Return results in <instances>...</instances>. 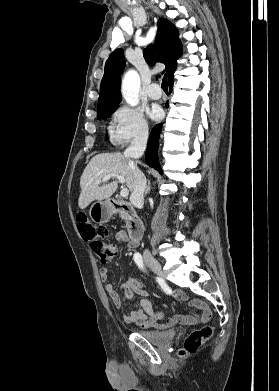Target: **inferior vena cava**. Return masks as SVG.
<instances>
[{
  "label": "inferior vena cava",
  "instance_id": "1",
  "mask_svg": "<svg viewBox=\"0 0 279 391\" xmlns=\"http://www.w3.org/2000/svg\"><path fill=\"white\" fill-rule=\"evenodd\" d=\"M148 136V128L142 129L135 136L130 146L124 152V156L130 159V168L133 172V176L135 179L134 188L130 196V201L134 206L141 205L144 201L146 178L144 174L139 170L136 163L131 159H138L143 155L146 149ZM145 254H149V251L145 250Z\"/></svg>",
  "mask_w": 279,
  "mask_h": 391
}]
</instances>
